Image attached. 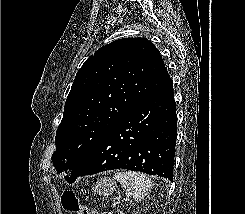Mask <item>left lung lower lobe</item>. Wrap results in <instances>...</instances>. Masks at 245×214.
<instances>
[{"label": "left lung lower lobe", "instance_id": "0a47b994", "mask_svg": "<svg viewBox=\"0 0 245 214\" xmlns=\"http://www.w3.org/2000/svg\"><path fill=\"white\" fill-rule=\"evenodd\" d=\"M177 115L169 77L126 113L65 179L113 169L158 175L173 181Z\"/></svg>", "mask_w": 245, "mask_h": 214}]
</instances>
